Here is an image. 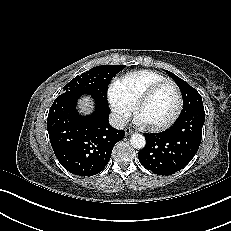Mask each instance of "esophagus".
<instances>
[{
    "mask_svg": "<svg viewBox=\"0 0 231 231\" xmlns=\"http://www.w3.org/2000/svg\"><path fill=\"white\" fill-rule=\"evenodd\" d=\"M134 132V130L132 129V128H130V127H127L126 129H125V134L126 135H130V134H132Z\"/></svg>",
    "mask_w": 231,
    "mask_h": 231,
    "instance_id": "obj_1",
    "label": "esophagus"
}]
</instances>
